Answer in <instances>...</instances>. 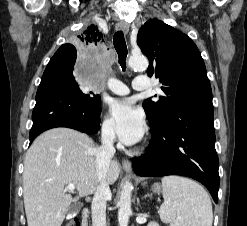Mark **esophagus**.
Here are the masks:
<instances>
[{
	"label": "esophagus",
	"instance_id": "obj_1",
	"mask_svg": "<svg viewBox=\"0 0 247 226\" xmlns=\"http://www.w3.org/2000/svg\"><path fill=\"white\" fill-rule=\"evenodd\" d=\"M116 29L117 30H122L124 33H128L129 32V24L125 21H120L117 23L116 25ZM122 166H123V169L128 172V173H131L132 172V165H131V162L127 159H124L122 161Z\"/></svg>",
	"mask_w": 247,
	"mask_h": 226
}]
</instances>
